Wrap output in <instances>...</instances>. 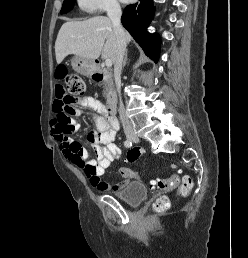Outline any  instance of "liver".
Returning a JSON list of instances; mask_svg holds the SVG:
<instances>
[{
    "instance_id": "obj_1",
    "label": "liver",
    "mask_w": 248,
    "mask_h": 258,
    "mask_svg": "<svg viewBox=\"0 0 248 258\" xmlns=\"http://www.w3.org/2000/svg\"><path fill=\"white\" fill-rule=\"evenodd\" d=\"M126 42L131 41L125 32ZM116 34L109 18L97 16L62 25L55 42L56 61L60 64L70 54L94 61L100 54L115 62Z\"/></svg>"
}]
</instances>
